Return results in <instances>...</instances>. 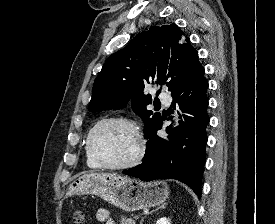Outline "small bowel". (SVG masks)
<instances>
[{
    "label": "small bowel",
    "mask_w": 275,
    "mask_h": 224,
    "mask_svg": "<svg viewBox=\"0 0 275 224\" xmlns=\"http://www.w3.org/2000/svg\"><path fill=\"white\" fill-rule=\"evenodd\" d=\"M96 220L102 224H116L114 220L110 218L107 209L100 208L95 213Z\"/></svg>",
    "instance_id": "small-bowel-1"
}]
</instances>
